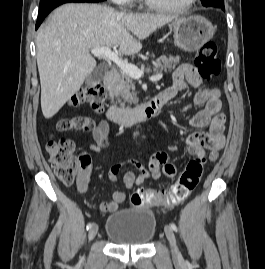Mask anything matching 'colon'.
Masks as SVG:
<instances>
[{
    "instance_id": "1",
    "label": "colon",
    "mask_w": 265,
    "mask_h": 269,
    "mask_svg": "<svg viewBox=\"0 0 265 269\" xmlns=\"http://www.w3.org/2000/svg\"><path fill=\"white\" fill-rule=\"evenodd\" d=\"M195 64L199 74L207 80L220 74L221 62L214 42H206L202 46ZM105 95L103 86L94 85L76 93L71 105L74 107L85 105L94 112L100 113L103 110ZM89 127L90 119L86 117L62 119L56 126L58 131L86 130ZM46 149L57 178L65 185L73 184L78 179L82 167V157L76 153L74 144L70 140H55L50 137ZM204 166L203 157L191 159L170 190H137L130 198L131 205L135 207L168 206L184 201L199 184Z\"/></svg>"
}]
</instances>
